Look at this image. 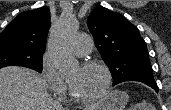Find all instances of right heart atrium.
<instances>
[{
	"mask_svg": "<svg viewBox=\"0 0 171 110\" xmlns=\"http://www.w3.org/2000/svg\"><path fill=\"white\" fill-rule=\"evenodd\" d=\"M41 76L46 87L54 97L59 99L64 98L67 91L66 83L47 53L41 59Z\"/></svg>",
	"mask_w": 171,
	"mask_h": 110,
	"instance_id": "1",
	"label": "right heart atrium"
}]
</instances>
